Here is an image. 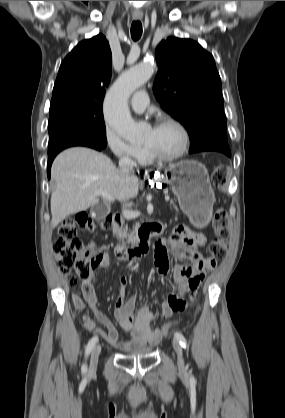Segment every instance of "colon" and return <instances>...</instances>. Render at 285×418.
Returning <instances> with one entry per match:
<instances>
[{"instance_id": "colon-1", "label": "colon", "mask_w": 285, "mask_h": 418, "mask_svg": "<svg viewBox=\"0 0 285 418\" xmlns=\"http://www.w3.org/2000/svg\"><path fill=\"white\" fill-rule=\"evenodd\" d=\"M211 180L215 187L223 188L225 186V172L222 166H217L211 174ZM104 229L113 228V220L107 217L101 223ZM95 226L85 212H79L70 219L62 221L57 237L53 242V249L57 258L58 266L65 276H69L72 272L81 279L89 277L92 269L101 261L98 257L89 259L88 249L80 240L79 236L84 231H93ZM184 228H179L178 233L185 232ZM229 233V217L227 212L220 208L216 211L213 220V237L209 244V250L213 257L218 258L226 254L228 248ZM155 260L162 262L167 259L168 251L164 243L159 240L154 246ZM216 262L214 259L206 264L208 270L214 269ZM76 280L73 279L71 284L74 285ZM188 306V303H187ZM170 325L165 324L157 328L159 335H166Z\"/></svg>"}]
</instances>
